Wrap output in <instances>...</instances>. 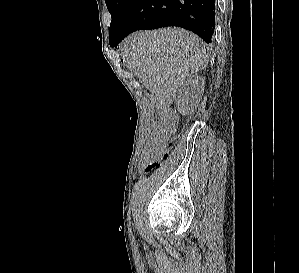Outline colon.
<instances>
[{
    "label": "colon",
    "instance_id": "colon-1",
    "mask_svg": "<svg viewBox=\"0 0 299 273\" xmlns=\"http://www.w3.org/2000/svg\"><path fill=\"white\" fill-rule=\"evenodd\" d=\"M176 129L177 121L174 117H169L164 122L156 125L141 160V166L146 172L159 166L161 161L168 157Z\"/></svg>",
    "mask_w": 299,
    "mask_h": 273
}]
</instances>
